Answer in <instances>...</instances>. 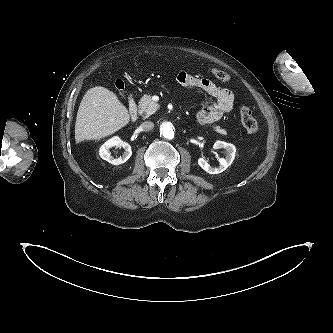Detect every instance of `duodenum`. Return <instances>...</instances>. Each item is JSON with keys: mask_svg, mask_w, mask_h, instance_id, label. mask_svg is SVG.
Wrapping results in <instances>:
<instances>
[{"mask_svg": "<svg viewBox=\"0 0 333 333\" xmlns=\"http://www.w3.org/2000/svg\"><path fill=\"white\" fill-rule=\"evenodd\" d=\"M129 115H130V119L132 121H135L138 116V109H137V105H136V102H135V99L133 98V96L129 97Z\"/></svg>", "mask_w": 333, "mask_h": 333, "instance_id": "1", "label": "duodenum"}]
</instances>
